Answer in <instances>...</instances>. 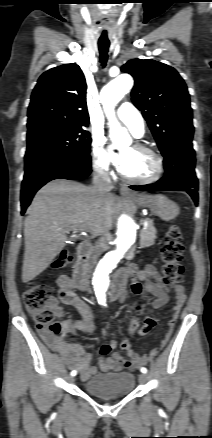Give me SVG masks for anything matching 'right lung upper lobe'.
Returning a JSON list of instances; mask_svg holds the SVG:
<instances>
[{"mask_svg": "<svg viewBox=\"0 0 212 438\" xmlns=\"http://www.w3.org/2000/svg\"><path fill=\"white\" fill-rule=\"evenodd\" d=\"M86 89L84 74L74 63L44 72L31 95L28 129L46 125L88 126Z\"/></svg>", "mask_w": 212, "mask_h": 438, "instance_id": "1", "label": "right lung upper lobe"}]
</instances>
